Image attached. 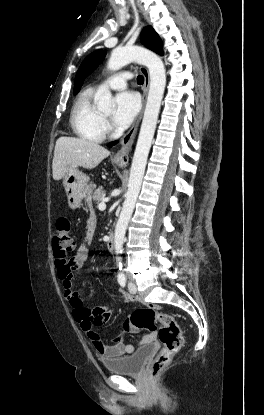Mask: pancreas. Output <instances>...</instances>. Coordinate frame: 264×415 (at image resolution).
I'll return each instance as SVG.
<instances>
[{
    "label": "pancreas",
    "instance_id": "obj_1",
    "mask_svg": "<svg viewBox=\"0 0 264 415\" xmlns=\"http://www.w3.org/2000/svg\"><path fill=\"white\" fill-rule=\"evenodd\" d=\"M104 197V191L102 187H99L95 190L92 198L96 202L97 205H99L103 201Z\"/></svg>",
    "mask_w": 264,
    "mask_h": 415
}]
</instances>
